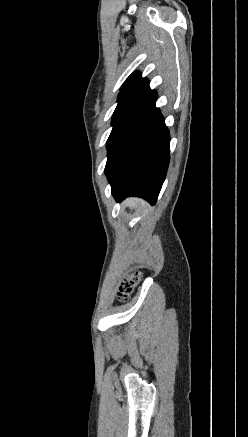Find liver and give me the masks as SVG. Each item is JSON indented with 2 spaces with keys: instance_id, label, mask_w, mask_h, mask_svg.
<instances>
[{
  "instance_id": "obj_1",
  "label": "liver",
  "mask_w": 248,
  "mask_h": 437,
  "mask_svg": "<svg viewBox=\"0 0 248 437\" xmlns=\"http://www.w3.org/2000/svg\"><path fill=\"white\" fill-rule=\"evenodd\" d=\"M139 203L140 202L137 199H129L125 202L126 206H129L130 208H136Z\"/></svg>"
}]
</instances>
